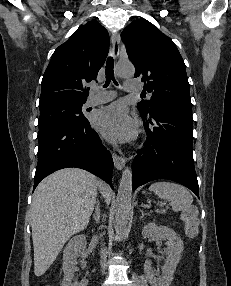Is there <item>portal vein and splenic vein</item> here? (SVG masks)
Listing matches in <instances>:
<instances>
[{"instance_id": "portal-vein-and-splenic-vein-1", "label": "portal vein and splenic vein", "mask_w": 231, "mask_h": 286, "mask_svg": "<svg viewBox=\"0 0 231 286\" xmlns=\"http://www.w3.org/2000/svg\"><path fill=\"white\" fill-rule=\"evenodd\" d=\"M161 205H164L162 202H159Z\"/></svg>"}]
</instances>
